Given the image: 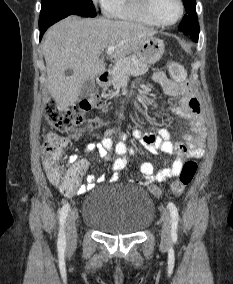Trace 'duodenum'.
<instances>
[{
	"label": "duodenum",
	"instance_id": "1",
	"mask_svg": "<svg viewBox=\"0 0 233 284\" xmlns=\"http://www.w3.org/2000/svg\"><path fill=\"white\" fill-rule=\"evenodd\" d=\"M110 79H111V73H110L109 70H105V71L101 72L99 77H98V81H99V84L101 86L108 85L109 82H110Z\"/></svg>",
	"mask_w": 233,
	"mask_h": 284
}]
</instances>
